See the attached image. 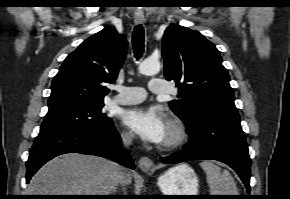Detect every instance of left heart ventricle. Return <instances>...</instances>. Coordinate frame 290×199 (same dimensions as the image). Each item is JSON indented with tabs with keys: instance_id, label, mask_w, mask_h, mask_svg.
Instances as JSON below:
<instances>
[{
	"instance_id": "left-heart-ventricle-1",
	"label": "left heart ventricle",
	"mask_w": 290,
	"mask_h": 199,
	"mask_svg": "<svg viewBox=\"0 0 290 199\" xmlns=\"http://www.w3.org/2000/svg\"><path fill=\"white\" fill-rule=\"evenodd\" d=\"M170 137H171V131H170L169 127L167 126L166 134H165V137H164L162 142L167 141Z\"/></svg>"
}]
</instances>
